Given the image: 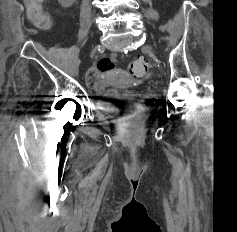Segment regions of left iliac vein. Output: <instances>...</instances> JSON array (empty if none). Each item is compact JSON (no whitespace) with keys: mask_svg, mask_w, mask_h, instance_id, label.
<instances>
[{"mask_svg":"<svg viewBox=\"0 0 237 232\" xmlns=\"http://www.w3.org/2000/svg\"><path fill=\"white\" fill-rule=\"evenodd\" d=\"M143 49H150V46H144Z\"/></svg>","mask_w":237,"mask_h":232,"instance_id":"1","label":"left iliac vein"}]
</instances>
